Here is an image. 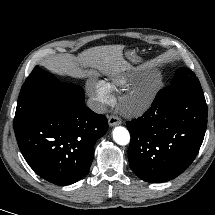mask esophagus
Here are the masks:
<instances>
[{
  "label": "esophagus",
  "instance_id": "esophagus-1",
  "mask_svg": "<svg viewBox=\"0 0 215 215\" xmlns=\"http://www.w3.org/2000/svg\"><path fill=\"white\" fill-rule=\"evenodd\" d=\"M121 123H122V120L118 116H116V115H111L108 118V124L110 126L120 125Z\"/></svg>",
  "mask_w": 215,
  "mask_h": 215
}]
</instances>
